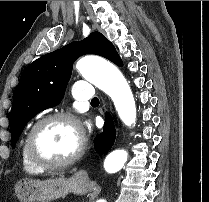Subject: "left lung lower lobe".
I'll list each match as a JSON object with an SVG mask.
<instances>
[{
    "mask_svg": "<svg viewBox=\"0 0 209 202\" xmlns=\"http://www.w3.org/2000/svg\"><path fill=\"white\" fill-rule=\"evenodd\" d=\"M115 126L109 113L105 115L104 130L94 139V147L97 153H106L114 144Z\"/></svg>",
    "mask_w": 209,
    "mask_h": 202,
    "instance_id": "1",
    "label": "left lung lower lobe"
}]
</instances>
